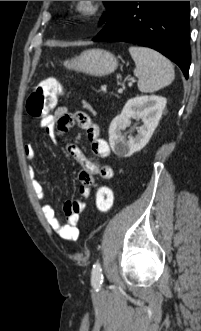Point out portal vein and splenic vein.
<instances>
[{
	"label": "portal vein and splenic vein",
	"mask_w": 201,
	"mask_h": 331,
	"mask_svg": "<svg viewBox=\"0 0 201 331\" xmlns=\"http://www.w3.org/2000/svg\"><path fill=\"white\" fill-rule=\"evenodd\" d=\"M134 81H135L134 79H130V80H129V83H128V85H129V86H131V85H132V83H133ZM119 92H122V91H121V90H119Z\"/></svg>",
	"instance_id": "18ae733b"
}]
</instances>
